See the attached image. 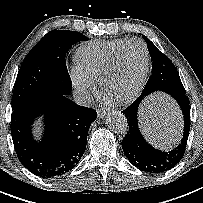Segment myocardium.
I'll return each mask as SVG.
<instances>
[{"mask_svg":"<svg viewBox=\"0 0 203 203\" xmlns=\"http://www.w3.org/2000/svg\"><path fill=\"white\" fill-rule=\"evenodd\" d=\"M131 43H138L143 47V50L145 53V63H144V68H143L142 74H141L136 86L134 87V89L127 96H124L122 98H112V97H110V94H109L110 79L112 78V76H113V74H114V72L118 66V63H119V60H120V57H121L123 50ZM149 68H150V52H149V49H148V46L146 45V43L139 38L127 39L116 50V52L114 53L113 57L111 58L110 62L108 63L107 67L105 68V70L102 74L100 84H101V88H102L103 93L106 96L110 97L114 102H116L118 104L131 103L132 101H134L139 96V94L143 90L144 85H145L146 80H147Z\"/></svg>","mask_w":203,"mask_h":203,"instance_id":"obj_1","label":"myocardium"}]
</instances>
